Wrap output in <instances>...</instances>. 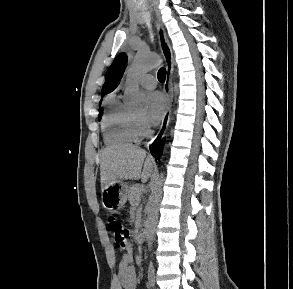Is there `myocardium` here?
I'll return each mask as SVG.
<instances>
[{"label": "myocardium", "mask_w": 293, "mask_h": 289, "mask_svg": "<svg viewBox=\"0 0 293 289\" xmlns=\"http://www.w3.org/2000/svg\"><path fill=\"white\" fill-rule=\"evenodd\" d=\"M136 121V130L138 135H146L148 131L144 129V126L142 125L140 119L138 117H135Z\"/></svg>", "instance_id": "1"}]
</instances>
